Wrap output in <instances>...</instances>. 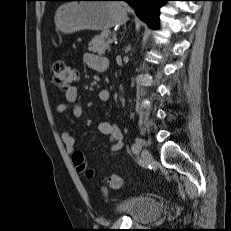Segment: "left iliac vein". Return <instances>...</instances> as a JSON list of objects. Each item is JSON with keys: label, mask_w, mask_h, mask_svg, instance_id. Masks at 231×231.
I'll use <instances>...</instances> for the list:
<instances>
[{"label": "left iliac vein", "mask_w": 231, "mask_h": 231, "mask_svg": "<svg viewBox=\"0 0 231 231\" xmlns=\"http://www.w3.org/2000/svg\"><path fill=\"white\" fill-rule=\"evenodd\" d=\"M141 155L145 164H149L153 160L152 154L148 149H144Z\"/></svg>", "instance_id": "obj_1"}]
</instances>
